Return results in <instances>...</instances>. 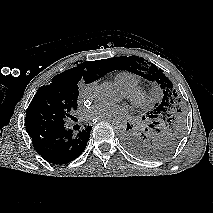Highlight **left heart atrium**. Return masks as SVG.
I'll return each instance as SVG.
<instances>
[{"label": "left heart atrium", "instance_id": "1", "mask_svg": "<svg viewBox=\"0 0 213 213\" xmlns=\"http://www.w3.org/2000/svg\"><path fill=\"white\" fill-rule=\"evenodd\" d=\"M128 107L125 104H107L98 102L84 111L87 120H99L108 117H115L127 113Z\"/></svg>", "mask_w": 213, "mask_h": 213}]
</instances>
